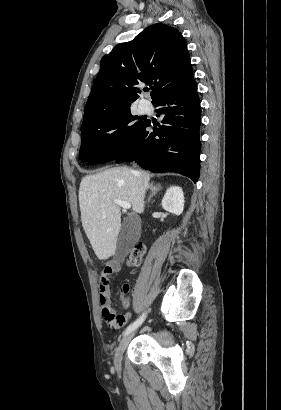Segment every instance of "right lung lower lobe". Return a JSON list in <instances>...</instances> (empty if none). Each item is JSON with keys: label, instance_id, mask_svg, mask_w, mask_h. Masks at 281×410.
Returning a JSON list of instances; mask_svg holds the SVG:
<instances>
[{"label": "right lung lower lobe", "instance_id": "1", "mask_svg": "<svg viewBox=\"0 0 281 410\" xmlns=\"http://www.w3.org/2000/svg\"><path fill=\"white\" fill-rule=\"evenodd\" d=\"M162 125L148 129L146 120L142 130L115 160L136 162L152 172H177L193 180L199 178L200 101L195 80L185 87L160 96L155 102Z\"/></svg>", "mask_w": 281, "mask_h": 410}]
</instances>
